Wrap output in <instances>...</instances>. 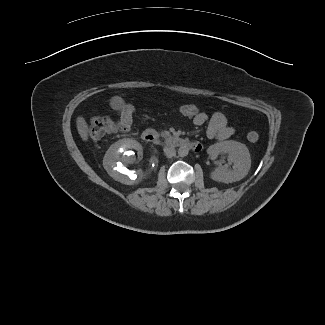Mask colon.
I'll return each mask as SVG.
<instances>
[{
    "mask_svg": "<svg viewBox=\"0 0 325 325\" xmlns=\"http://www.w3.org/2000/svg\"><path fill=\"white\" fill-rule=\"evenodd\" d=\"M175 111L187 118L195 119L200 117L204 112L195 104H181L175 108ZM134 108L125 104L118 111V119L113 120L109 116H97L93 117L90 121V138L93 142H99L102 139L118 133L127 132L130 130L133 122ZM259 138V134L256 131H249L247 139L250 142H255Z\"/></svg>",
    "mask_w": 325,
    "mask_h": 325,
    "instance_id": "1",
    "label": "colon"
}]
</instances>
